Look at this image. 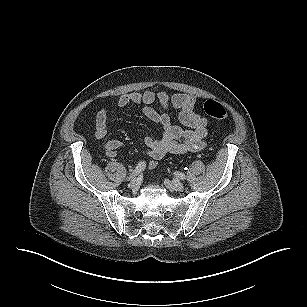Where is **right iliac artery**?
<instances>
[{"mask_svg": "<svg viewBox=\"0 0 307 307\" xmlns=\"http://www.w3.org/2000/svg\"><path fill=\"white\" fill-rule=\"evenodd\" d=\"M146 168V163L144 161L139 162L138 165L136 166L135 170H133L126 178L127 181L132 180L136 178L140 173L144 171Z\"/></svg>", "mask_w": 307, "mask_h": 307, "instance_id": "obj_1", "label": "right iliac artery"}]
</instances>
